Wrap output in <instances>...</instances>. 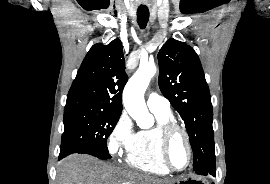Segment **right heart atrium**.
<instances>
[{
  "instance_id": "obj_1",
  "label": "right heart atrium",
  "mask_w": 270,
  "mask_h": 184,
  "mask_svg": "<svg viewBox=\"0 0 270 184\" xmlns=\"http://www.w3.org/2000/svg\"><path fill=\"white\" fill-rule=\"evenodd\" d=\"M136 132L130 116L122 112L114 123L108 138L107 149L113 155H120L122 152H128L135 138Z\"/></svg>"
}]
</instances>
